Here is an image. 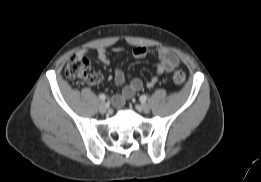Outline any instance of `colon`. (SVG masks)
I'll return each instance as SVG.
<instances>
[{
    "instance_id": "5ec220e1",
    "label": "colon",
    "mask_w": 261,
    "mask_h": 182,
    "mask_svg": "<svg viewBox=\"0 0 261 182\" xmlns=\"http://www.w3.org/2000/svg\"><path fill=\"white\" fill-rule=\"evenodd\" d=\"M65 73L70 79H84L91 78L90 63L85 57L73 56L66 64ZM175 84L181 85L184 83L186 76L181 70H175L172 75Z\"/></svg>"
}]
</instances>
